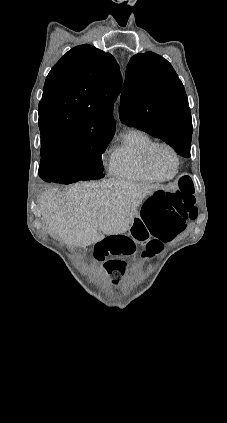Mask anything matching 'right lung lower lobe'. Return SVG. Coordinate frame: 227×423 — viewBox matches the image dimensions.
<instances>
[{
  "label": "right lung lower lobe",
  "instance_id": "obj_1",
  "mask_svg": "<svg viewBox=\"0 0 227 423\" xmlns=\"http://www.w3.org/2000/svg\"><path fill=\"white\" fill-rule=\"evenodd\" d=\"M39 176L46 182L70 184L79 180L70 176V170L51 161H42L39 167Z\"/></svg>",
  "mask_w": 227,
  "mask_h": 423
}]
</instances>
